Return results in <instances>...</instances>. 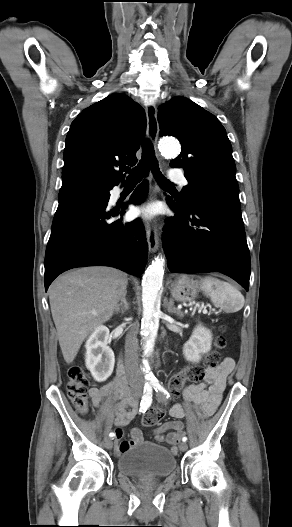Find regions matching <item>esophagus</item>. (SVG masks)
<instances>
[{
  "mask_svg": "<svg viewBox=\"0 0 292 527\" xmlns=\"http://www.w3.org/2000/svg\"><path fill=\"white\" fill-rule=\"evenodd\" d=\"M146 117H147V137L150 140V142L156 146L159 126H158V120H157V109L155 105H147L146 106ZM150 198L155 197L156 191H157V182L154 176L150 175ZM146 236H147V242H148V248L151 253H154L157 251L159 246V235L158 231L155 225H151L150 223H146Z\"/></svg>",
  "mask_w": 292,
  "mask_h": 527,
  "instance_id": "obj_1",
  "label": "esophagus"
}]
</instances>
